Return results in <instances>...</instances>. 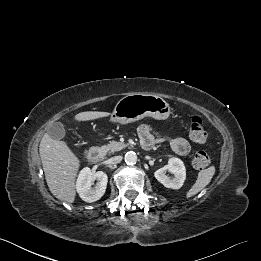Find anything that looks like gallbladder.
Wrapping results in <instances>:
<instances>
[{
  "instance_id": "obj_1",
  "label": "gallbladder",
  "mask_w": 261,
  "mask_h": 261,
  "mask_svg": "<svg viewBox=\"0 0 261 261\" xmlns=\"http://www.w3.org/2000/svg\"><path fill=\"white\" fill-rule=\"evenodd\" d=\"M47 134L53 139L61 140L65 137L66 131L61 122H56L48 128Z\"/></svg>"
}]
</instances>
